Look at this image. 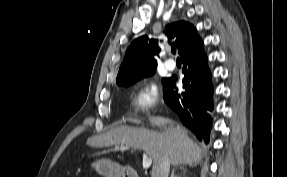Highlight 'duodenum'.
Here are the masks:
<instances>
[{"label":"duodenum","instance_id":"1","mask_svg":"<svg viewBox=\"0 0 287 177\" xmlns=\"http://www.w3.org/2000/svg\"><path fill=\"white\" fill-rule=\"evenodd\" d=\"M121 177H138L134 171L129 167H124L121 172Z\"/></svg>","mask_w":287,"mask_h":177}]
</instances>
